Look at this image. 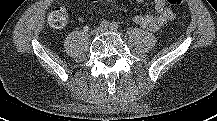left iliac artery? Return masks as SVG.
I'll list each match as a JSON object with an SVG mask.
<instances>
[{"instance_id":"44dca946","label":"left iliac artery","mask_w":217,"mask_h":121,"mask_svg":"<svg viewBox=\"0 0 217 121\" xmlns=\"http://www.w3.org/2000/svg\"><path fill=\"white\" fill-rule=\"evenodd\" d=\"M118 28V24L116 22L110 23V29L111 30H116Z\"/></svg>"}]
</instances>
